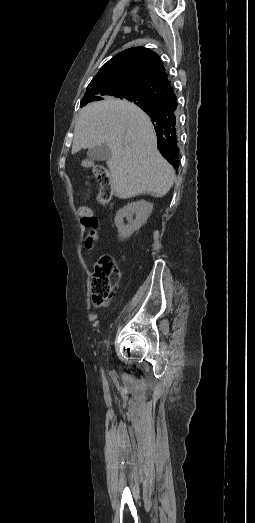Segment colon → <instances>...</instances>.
Instances as JSON below:
<instances>
[{
    "label": "colon",
    "mask_w": 255,
    "mask_h": 523,
    "mask_svg": "<svg viewBox=\"0 0 255 523\" xmlns=\"http://www.w3.org/2000/svg\"><path fill=\"white\" fill-rule=\"evenodd\" d=\"M95 177L99 183L97 199L103 205H108L112 199V186L109 172L102 166L94 169ZM79 215L84 224H91L94 220L93 208L86 204L79 207ZM119 280V270L115 260L108 254L99 257L94 266L91 278L93 302L96 305H106L111 300L114 288Z\"/></svg>",
    "instance_id": "1"
}]
</instances>
